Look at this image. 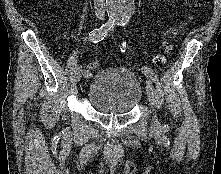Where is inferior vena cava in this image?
<instances>
[{"instance_id":"1","label":"inferior vena cava","mask_w":221,"mask_h":174,"mask_svg":"<svg viewBox=\"0 0 221 174\" xmlns=\"http://www.w3.org/2000/svg\"><path fill=\"white\" fill-rule=\"evenodd\" d=\"M93 1H94L95 15L100 18L104 17L106 11L105 0H93Z\"/></svg>"}]
</instances>
